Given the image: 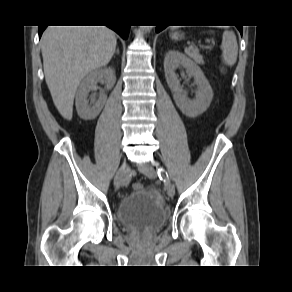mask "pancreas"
Masks as SVG:
<instances>
[{"mask_svg":"<svg viewBox=\"0 0 292 292\" xmlns=\"http://www.w3.org/2000/svg\"><path fill=\"white\" fill-rule=\"evenodd\" d=\"M187 55L191 57L196 63L204 64L202 55L199 54V51L196 49H189Z\"/></svg>","mask_w":292,"mask_h":292,"instance_id":"pancreas-1","label":"pancreas"}]
</instances>
